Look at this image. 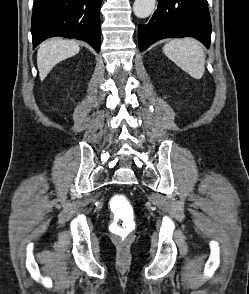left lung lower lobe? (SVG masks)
I'll return each mask as SVG.
<instances>
[{
  "mask_svg": "<svg viewBox=\"0 0 249 294\" xmlns=\"http://www.w3.org/2000/svg\"><path fill=\"white\" fill-rule=\"evenodd\" d=\"M191 36L210 46L211 21L207 0H159L146 25L138 27L140 51L163 38Z\"/></svg>",
  "mask_w": 249,
  "mask_h": 294,
  "instance_id": "left-lung-lower-lobe-1",
  "label": "left lung lower lobe"
}]
</instances>
